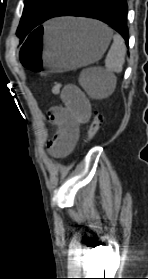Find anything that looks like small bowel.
Here are the masks:
<instances>
[{
	"label": "small bowel",
	"instance_id": "c3829d8e",
	"mask_svg": "<svg viewBox=\"0 0 148 279\" xmlns=\"http://www.w3.org/2000/svg\"><path fill=\"white\" fill-rule=\"evenodd\" d=\"M61 96L64 105L53 107L48 112L50 122L56 127L48 151L55 158L66 157L72 152L79 139L80 125L91 116L90 102L78 87L66 86Z\"/></svg>",
	"mask_w": 148,
	"mask_h": 279
}]
</instances>
